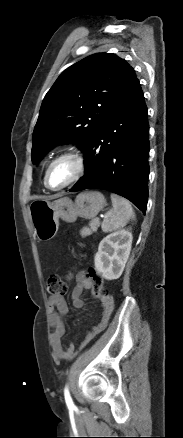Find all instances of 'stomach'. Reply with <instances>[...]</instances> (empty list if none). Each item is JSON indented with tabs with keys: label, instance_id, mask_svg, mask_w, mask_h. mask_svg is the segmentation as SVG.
<instances>
[{
	"label": "stomach",
	"instance_id": "obj_1",
	"mask_svg": "<svg viewBox=\"0 0 183 438\" xmlns=\"http://www.w3.org/2000/svg\"><path fill=\"white\" fill-rule=\"evenodd\" d=\"M105 204L101 193L87 191L80 193L75 202L68 197L53 202L39 199L34 200L28 209L35 236L40 241H49L57 234L60 218L68 223L75 222L77 217L91 219Z\"/></svg>",
	"mask_w": 183,
	"mask_h": 438
}]
</instances>
